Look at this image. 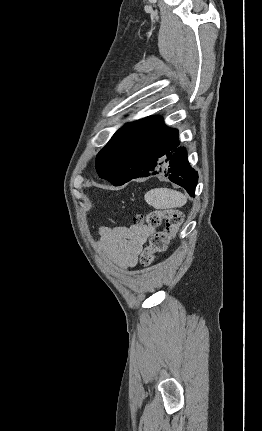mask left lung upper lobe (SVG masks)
Returning <instances> with one entry per match:
<instances>
[{
  "mask_svg": "<svg viewBox=\"0 0 262 431\" xmlns=\"http://www.w3.org/2000/svg\"><path fill=\"white\" fill-rule=\"evenodd\" d=\"M172 130L164 126L160 116H149L125 124L98 153V175L114 186L123 185L132 173L131 163L137 151L145 149L156 137Z\"/></svg>",
  "mask_w": 262,
  "mask_h": 431,
  "instance_id": "left-lung-upper-lobe-1",
  "label": "left lung upper lobe"
}]
</instances>
